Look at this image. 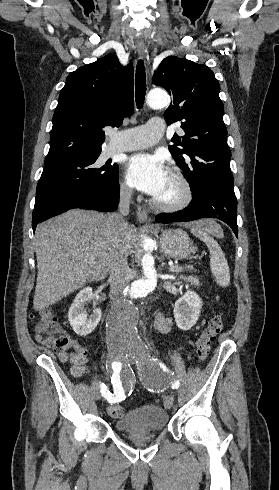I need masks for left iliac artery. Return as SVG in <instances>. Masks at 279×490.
Instances as JSON below:
<instances>
[{"instance_id": "1", "label": "left iliac artery", "mask_w": 279, "mask_h": 490, "mask_svg": "<svg viewBox=\"0 0 279 490\" xmlns=\"http://www.w3.org/2000/svg\"><path fill=\"white\" fill-rule=\"evenodd\" d=\"M155 362H157V358L156 359H153ZM160 367L164 370V371H168V368L166 367V365L162 362L159 363Z\"/></svg>"}]
</instances>
